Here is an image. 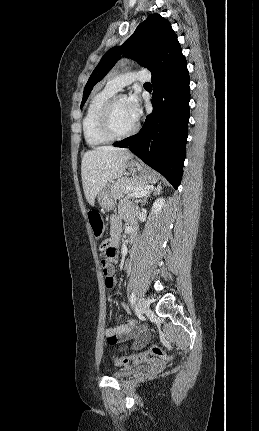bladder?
Instances as JSON below:
<instances>
[{
    "label": "bladder",
    "instance_id": "1",
    "mask_svg": "<svg viewBox=\"0 0 259 431\" xmlns=\"http://www.w3.org/2000/svg\"><path fill=\"white\" fill-rule=\"evenodd\" d=\"M137 370H138V368L122 369V370H118V371L113 372L111 374V376L117 380H122V379H125V378L132 376Z\"/></svg>",
    "mask_w": 259,
    "mask_h": 431
}]
</instances>
